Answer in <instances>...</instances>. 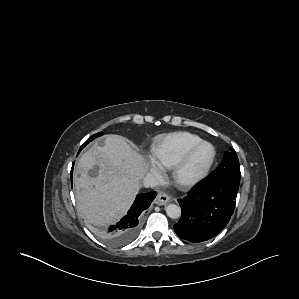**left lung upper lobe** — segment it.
Returning <instances> with one entry per match:
<instances>
[{
  "label": "left lung upper lobe",
  "instance_id": "1",
  "mask_svg": "<svg viewBox=\"0 0 299 299\" xmlns=\"http://www.w3.org/2000/svg\"><path fill=\"white\" fill-rule=\"evenodd\" d=\"M211 178H227L240 182V166L235 151L225 152L222 162L210 175Z\"/></svg>",
  "mask_w": 299,
  "mask_h": 299
}]
</instances>
